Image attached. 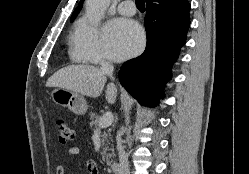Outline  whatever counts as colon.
I'll return each instance as SVG.
<instances>
[{
    "label": "colon",
    "instance_id": "5ec220e1",
    "mask_svg": "<svg viewBox=\"0 0 249 174\" xmlns=\"http://www.w3.org/2000/svg\"><path fill=\"white\" fill-rule=\"evenodd\" d=\"M55 126L58 139L61 144H68L73 140L74 131L68 121L64 119H58Z\"/></svg>",
    "mask_w": 249,
    "mask_h": 174
}]
</instances>
